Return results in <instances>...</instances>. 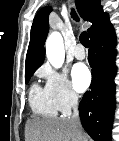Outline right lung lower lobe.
<instances>
[{
    "label": "right lung lower lobe",
    "mask_w": 119,
    "mask_h": 141,
    "mask_svg": "<svg viewBox=\"0 0 119 141\" xmlns=\"http://www.w3.org/2000/svg\"><path fill=\"white\" fill-rule=\"evenodd\" d=\"M92 82L79 104L81 123L94 141H110L115 109L116 35L109 17L90 36Z\"/></svg>",
    "instance_id": "1"
}]
</instances>
